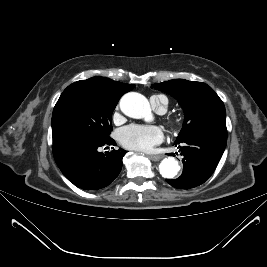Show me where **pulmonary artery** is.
Wrapping results in <instances>:
<instances>
[{
  "mask_svg": "<svg viewBox=\"0 0 267 267\" xmlns=\"http://www.w3.org/2000/svg\"><path fill=\"white\" fill-rule=\"evenodd\" d=\"M166 99V97H163L162 98V100H165ZM157 111L159 112V113H164V108L163 107H161V108H159V109H157Z\"/></svg>",
  "mask_w": 267,
  "mask_h": 267,
  "instance_id": "obj_1",
  "label": "pulmonary artery"
}]
</instances>
